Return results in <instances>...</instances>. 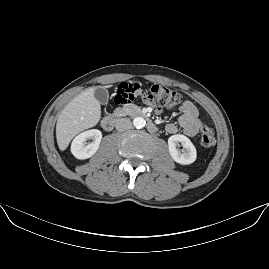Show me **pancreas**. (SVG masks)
Returning <instances> with one entry per match:
<instances>
[{
  "instance_id": "obj_1",
  "label": "pancreas",
  "mask_w": 269,
  "mask_h": 269,
  "mask_svg": "<svg viewBox=\"0 0 269 269\" xmlns=\"http://www.w3.org/2000/svg\"><path fill=\"white\" fill-rule=\"evenodd\" d=\"M141 111V108L135 105H129L125 106L123 108H117L114 112L116 116H124V115H130L135 116L137 113Z\"/></svg>"
}]
</instances>
